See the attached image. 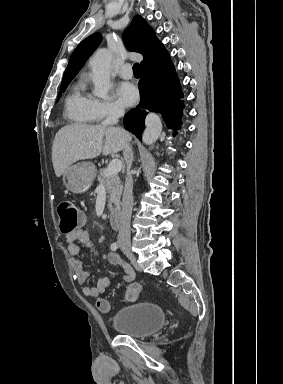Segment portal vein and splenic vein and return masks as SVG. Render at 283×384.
<instances>
[{
	"label": "portal vein and splenic vein",
	"mask_w": 283,
	"mask_h": 384,
	"mask_svg": "<svg viewBox=\"0 0 283 384\" xmlns=\"http://www.w3.org/2000/svg\"><path fill=\"white\" fill-rule=\"evenodd\" d=\"M121 168H122L121 160H112V162L108 164V168H106L104 174L105 176H117Z\"/></svg>",
	"instance_id": "obj_1"
}]
</instances>
